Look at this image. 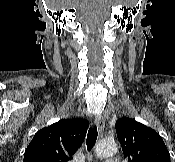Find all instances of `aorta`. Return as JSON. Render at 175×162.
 Returning a JSON list of instances; mask_svg holds the SVG:
<instances>
[{
  "mask_svg": "<svg viewBox=\"0 0 175 162\" xmlns=\"http://www.w3.org/2000/svg\"><path fill=\"white\" fill-rule=\"evenodd\" d=\"M117 145L113 140H102L97 143L95 153L99 157H107L117 152Z\"/></svg>",
  "mask_w": 175,
  "mask_h": 162,
  "instance_id": "obj_1",
  "label": "aorta"
}]
</instances>
